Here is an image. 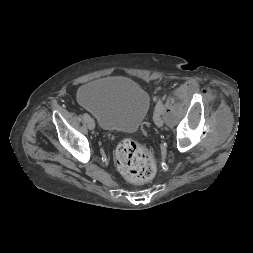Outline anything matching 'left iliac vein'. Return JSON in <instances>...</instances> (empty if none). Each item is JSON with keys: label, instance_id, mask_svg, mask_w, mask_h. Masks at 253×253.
Returning <instances> with one entry per match:
<instances>
[{"label": "left iliac vein", "instance_id": "obj_1", "mask_svg": "<svg viewBox=\"0 0 253 253\" xmlns=\"http://www.w3.org/2000/svg\"><path fill=\"white\" fill-rule=\"evenodd\" d=\"M163 110H164V107H163ZM161 114L162 112L160 110L154 112L153 119L157 127H162L164 123Z\"/></svg>", "mask_w": 253, "mask_h": 253}]
</instances>
